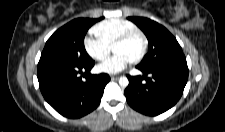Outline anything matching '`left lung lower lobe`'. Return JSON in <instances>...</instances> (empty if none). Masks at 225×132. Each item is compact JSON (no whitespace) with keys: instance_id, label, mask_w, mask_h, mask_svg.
<instances>
[{"instance_id":"1","label":"left lung lower lobe","mask_w":225,"mask_h":132,"mask_svg":"<svg viewBox=\"0 0 225 132\" xmlns=\"http://www.w3.org/2000/svg\"><path fill=\"white\" fill-rule=\"evenodd\" d=\"M142 76L127 75L129 85L125 89L128 104L140 113L159 115L182 96L188 78L186 62L164 63L150 68L138 67ZM149 75V77H147Z\"/></svg>"}]
</instances>
